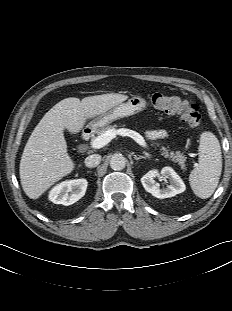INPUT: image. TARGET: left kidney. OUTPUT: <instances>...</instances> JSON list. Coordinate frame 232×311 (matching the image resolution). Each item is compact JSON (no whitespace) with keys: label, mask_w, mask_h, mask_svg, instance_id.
Returning a JSON list of instances; mask_svg holds the SVG:
<instances>
[{"label":"left kidney","mask_w":232,"mask_h":311,"mask_svg":"<svg viewBox=\"0 0 232 311\" xmlns=\"http://www.w3.org/2000/svg\"><path fill=\"white\" fill-rule=\"evenodd\" d=\"M160 176L169 179L170 185L161 189L154 180V178ZM141 183L147 192L159 199L173 197L184 192L186 189V186L180 176L171 167H164L161 172L157 169L148 171L141 178Z\"/></svg>","instance_id":"1"}]
</instances>
